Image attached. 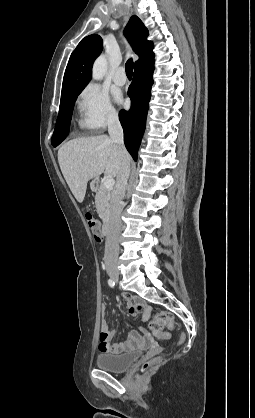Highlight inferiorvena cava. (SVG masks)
I'll return each mask as SVG.
<instances>
[{
    "mask_svg": "<svg viewBox=\"0 0 255 418\" xmlns=\"http://www.w3.org/2000/svg\"><path fill=\"white\" fill-rule=\"evenodd\" d=\"M108 133L110 139L119 146L122 157L116 185L111 196V209L104 253V260L106 262L111 260L116 261L119 255L118 238L121 231V202L125 195L130 174V161L123 142V129L119 117L115 113L109 115Z\"/></svg>",
    "mask_w": 255,
    "mask_h": 418,
    "instance_id": "602c4592",
    "label": "inferior vena cava"
}]
</instances>
